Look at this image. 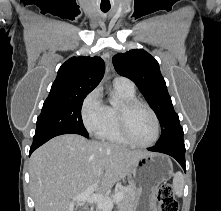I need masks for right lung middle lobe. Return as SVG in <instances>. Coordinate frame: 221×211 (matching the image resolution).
Returning a JSON list of instances; mask_svg holds the SVG:
<instances>
[{"instance_id": "obj_1", "label": "right lung middle lobe", "mask_w": 221, "mask_h": 211, "mask_svg": "<svg viewBox=\"0 0 221 211\" xmlns=\"http://www.w3.org/2000/svg\"><path fill=\"white\" fill-rule=\"evenodd\" d=\"M87 95H49L37 118L34 138L59 132H73L88 137L81 117L82 103Z\"/></svg>"}]
</instances>
